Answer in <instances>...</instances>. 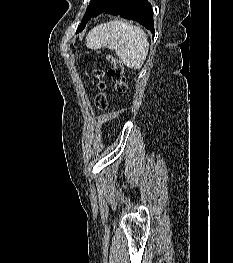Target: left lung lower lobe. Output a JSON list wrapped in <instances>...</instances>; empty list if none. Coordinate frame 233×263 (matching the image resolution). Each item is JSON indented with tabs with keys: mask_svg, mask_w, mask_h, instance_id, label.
<instances>
[{
	"mask_svg": "<svg viewBox=\"0 0 233 263\" xmlns=\"http://www.w3.org/2000/svg\"><path fill=\"white\" fill-rule=\"evenodd\" d=\"M103 12L136 20L155 33L152 6L147 0H116Z\"/></svg>",
	"mask_w": 233,
	"mask_h": 263,
	"instance_id": "left-lung-lower-lobe-1",
	"label": "left lung lower lobe"
}]
</instances>
